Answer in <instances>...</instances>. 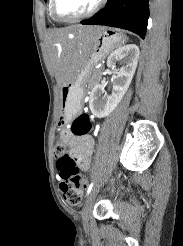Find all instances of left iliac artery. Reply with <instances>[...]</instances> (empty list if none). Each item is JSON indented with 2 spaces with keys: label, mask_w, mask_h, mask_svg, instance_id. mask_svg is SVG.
<instances>
[{
  "label": "left iliac artery",
  "mask_w": 183,
  "mask_h": 246,
  "mask_svg": "<svg viewBox=\"0 0 183 246\" xmlns=\"http://www.w3.org/2000/svg\"><path fill=\"white\" fill-rule=\"evenodd\" d=\"M93 182L90 183V185L88 186V189H87V195L91 192L92 188H93Z\"/></svg>",
  "instance_id": "1"
}]
</instances>
